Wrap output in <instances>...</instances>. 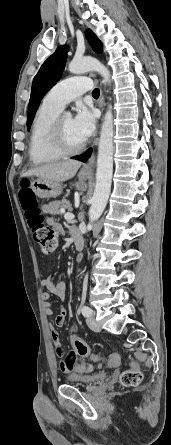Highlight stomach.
<instances>
[{"instance_id": "1", "label": "stomach", "mask_w": 171, "mask_h": 445, "mask_svg": "<svg viewBox=\"0 0 171 445\" xmlns=\"http://www.w3.org/2000/svg\"><path fill=\"white\" fill-rule=\"evenodd\" d=\"M80 180L84 181L86 177H80ZM29 186L39 198H56L62 193L60 182L43 178L31 179Z\"/></svg>"}]
</instances>
